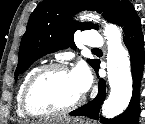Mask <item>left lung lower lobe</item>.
Segmentation results:
<instances>
[{
  "label": "left lung lower lobe",
  "instance_id": "1",
  "mask_svg": "<svg viewBox=\"0 0 145 124\" xmlns=\"http://www.w3.org/2000/svg\"><path fill=\"white\" fill-rule=\"evenodd\" d=\"M119 26L123 29V40L131 57V68L133 78V94L127 109L119 116L113 119L99 117L101 104L106 96V84L103 79L99 80L98 94L88 104L72 111V116H86L92 119H100L103 124H138L140 115L139 96L140 82L143 74L145 61L144 36L141 30V20L135 9L131 6L120 19ZM98 62L96 71L99 69Z\"/></svg>",
  "mask_w": 145,
  "mask_h": 124
}]
</instances>
